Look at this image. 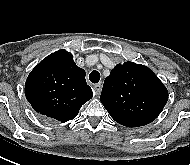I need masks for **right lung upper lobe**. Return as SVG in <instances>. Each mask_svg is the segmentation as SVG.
I'll return each mask as SVG.
<instances>
[{"instance_id":"right-lung-upper-lobe-1","label":"right lung upper lobe","mask_w":190,"mask_h":165,"mask_svg":"<svg viewBox=\"0 0 190 165\" xmlns=\"http://www.w3.org/2000/svg\"><path fill=\"white\" fill-rule=\"evenodd\" d=\"M25 95L36 112L64 123L78 114L93 92L86 83L85 71L74 63L72 54L59 50L30 72Z\"/></svg>"}]
</instances>
